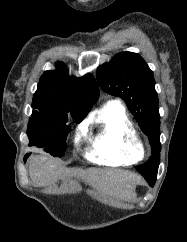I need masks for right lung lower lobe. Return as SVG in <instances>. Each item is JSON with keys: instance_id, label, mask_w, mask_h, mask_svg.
<instances>
[{"instance_id": "98d812e1", "label": "right lung lower lobe", "mask_w": 187, "mask_h": 242, "mask_svg": "<svg viewBox=\"0 0 187 242\" xmlns=\"http://www.w3.org/2000/svg\"><path fill=\"white\" fill-rule=\"evenodd\" d=\"M29 155H30V154H26V155L24 156V161H26V159L29 157Z\"/></svg>"}]
</instances>
